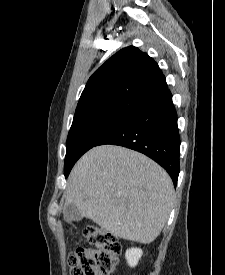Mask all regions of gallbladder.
<instances>
[{"label": "gallbladder", "mask_w": 225, "mask_h": 275, "mask_svg": "<svg viewBox=\"0 0 225 275\" xmlns=\"http://www.w3.org/2000/svg\"><path fill=\"white\" fill-rule=\"evenodd\" d=\"M63 214L67 222H78L83 218L82 214L74 203L69 204L65 208Z\"/></svg>", "instance_id": "obj_1"}]
</instances>
